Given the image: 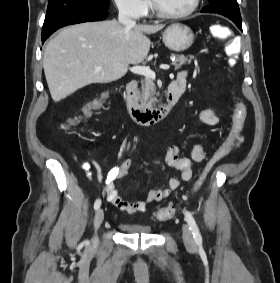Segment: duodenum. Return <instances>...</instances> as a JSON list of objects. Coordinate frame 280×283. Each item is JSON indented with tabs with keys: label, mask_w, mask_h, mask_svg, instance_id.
Instances as JSON below:
<instances>
[{
	"label": "duodenum",
	"mask_w": 280,
	"mask_h": 283,
	"mask_svg": "<svg viewBox=\"0 0 280 283\" xmlns=\"http://www.w3.org/2000/svg\"><path fill=\"white\" fill-rule=\"evenodd\" d=\"M181 93V86L177 81H173L168 86L163 103L156 108H146L139 101L137 81L132 80L126 87L127 109L136 123L143 126L153 125L164 120L170 114Z\"/></svg>",
	"instance_id": "410a0bca"
}]
</instances>
